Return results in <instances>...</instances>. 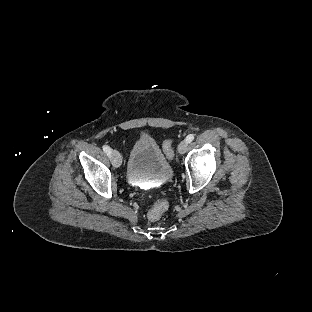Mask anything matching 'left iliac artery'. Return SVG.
I'll return each instance as SVG.
<instances>
[{"instance_id":"obj_1","label":"left iliac artery","mask_w":312,"mask_h":312,"mask_svg":"<svg viewBox=\"0 0 312 312\" xmlns=\"http://www.w3.org/2000/svg\"><path fill=\"white\" fill-rule=\"evenodd\" d=\"M194 139V135L193 134H189L187 137H186V140L188 141V143L192 142Z\"/></svg>"}]
</instances>
